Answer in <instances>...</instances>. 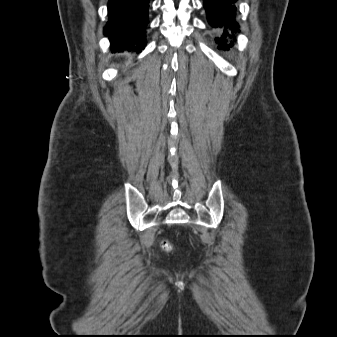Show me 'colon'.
<instances>
[{
  "label": "colon",
  "mask_w": 337,
  "mask_h": 337,
  "mask_svg": "<svg viewBox=\"0 0 337 337\" xmlns=\"http://www.w3.org/2000/svg\"><path fill=\"white\" fill-rule=\"evenodd\" d=\"M162 248L166 251H169L172 249V244L168 240H164L162 242Z\"/></svg>",
  "instance_id": "1"
}]
</instances>
